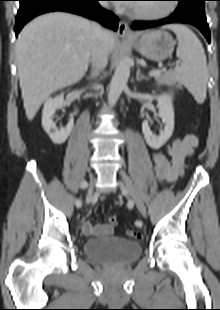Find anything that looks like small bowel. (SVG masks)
Wrapping results in <instances>:
<instances>
[{"label":"small bowel","mask_w":220,"mask_h":310,"mask_svg":"<svg viewBox=\"0 0 220 310\" xmlns=\"http://www.w3.org/2000/svg\"><path fill=\"white\" fill-rule=\"evenodd\" d=\"M198 146V138L194 134H187L175 139L167 148V154L171 161L162 154L154 153L152 156L156 177L160 181L176 183L183 175L186 160L192 155ZM82 231L85 235H110L113 228L108 225H93L89 220L82 221Z\"/></svg>","instance_id":"obj_1"}]
</instances>
